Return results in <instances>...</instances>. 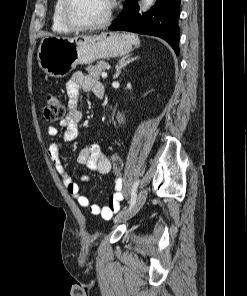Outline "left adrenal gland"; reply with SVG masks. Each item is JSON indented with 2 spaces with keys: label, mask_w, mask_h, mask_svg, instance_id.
<instances>
[{
  "label": "left adrenal gland",
  "mask_w": 247,
  "mask_h": 296,
  "mask_svg": "<svg viewBox=\"0 0 247 296\" xmlns=\"http://www.w3.org/2000/svg\"><path fill=\"white\" fill-rule=\"evenodd\" d=\"M136 59H138V56L133 57L132 55H127L122 57V59L119 60L118 64L116 65V72L113 76V79L118 78V76L121 73V69L126 67V65H128L129 63L135 61Z\"/></svg>",
  "instance_id": "a2214340"
}]
</instances>
